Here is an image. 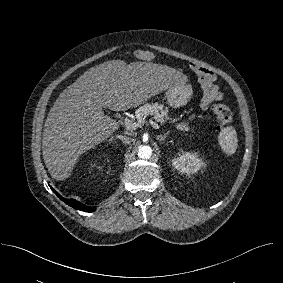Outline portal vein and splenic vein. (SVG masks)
I'll list each match as a JSON object with an SVG mask.
<instances>
[{"label": "portal vein and splenic vein", "instance_id": "portal-vein-and-splenic-vein-1", "mask_svg": "<svg viewBox=\"0 0 283 283\" xmlns=\"http://www.w3.org/2000/svg\"><path fill=\"white\" fill-rule=\"evenodd\" d=\"M149 123L155 129H159L160 128V126L157 123H155L152 119H149ZM124 125H125V127L127 129H135L139 125V123L135 122V121H132V120H130L128 118H125L124 119Z\"/></svg>", "mask_w": 283, "mask_h": 283}]
</instances>
